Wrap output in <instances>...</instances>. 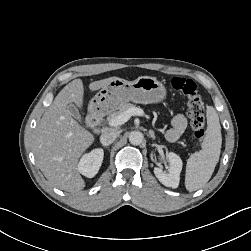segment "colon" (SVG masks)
<instances>
[{
    "mask_svg": "<svg viewBox=\"0 0 251 251\" xmlns=\"http://www.w3.org/2000/svg\"><path fill=\"white\" fill-rule=\"evenodd\" d=\"M171 86L185 96L194 135L199 141H203L206 135L205 106L198 93L196 83L191 79L174 77L171 80Z\"/></svg>",
    "mask_w": 251,
    "mask_h": 251,
    "instance_id": "5ec220e1",
    "label": "colon"
}]
</instances>
